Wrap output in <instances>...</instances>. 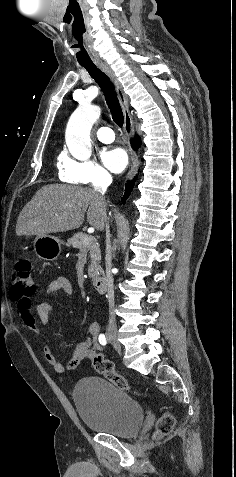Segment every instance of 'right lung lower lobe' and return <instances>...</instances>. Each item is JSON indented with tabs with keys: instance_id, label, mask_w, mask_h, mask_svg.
I'll return each mask as SVG.
<instances>
[{
	"instance_id": "obj_1",
	"label": "right lung lower lobe",
	"mask_w": 236,
	"mask_h": 477,
	"mask_svg": "<svg viewBox=\"0 0 236 477\" xmlns=\"http://www.w3.org/2000/svg\"><path fill=\"white\" fill-rule=\"evenodd\" d=\"M139 144H140L139 138H136L135 140H131V145H132V147H133L135 150H137V147H138ZM134 182H135V180H133V181H128V182L126 183L125 193H124V196H123V198H122V203H123V204H125L126 199H127L128 196L130 195V193H131V191H132V189H133V186H134Z\"/></svg>"
}]
</instances>
